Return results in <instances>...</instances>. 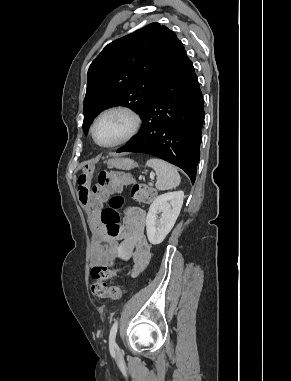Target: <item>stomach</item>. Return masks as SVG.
Listing matches in <instances>:
<instances>
[{"label": "stomach", "mask_w": 291, "mask_h": 381, "mask_svg": "<svg viewBox=\"0 0 291 381\" xmlns=\"http://www.w3.org/2000/svg\"><path fill=\"white\" fill-rule=\"evenodd\" d=\"M109 163L112 166L123 170H130L136 166V162L129 158H116L109 160Z\"/></svg>", "instance_id": "0dacf381"}]
</instances>
